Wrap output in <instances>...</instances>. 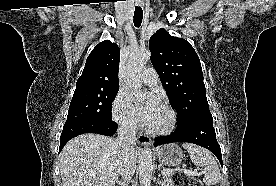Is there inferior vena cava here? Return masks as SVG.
Instances as JSON below:
<instances>
[{
    "instance_id": "inferior-vena-cava-1",
    "label": "inferior vena cava",
    "mask_w": 276,
    "mask_h": 186,
    "mask_svg": "<svg viewBox=\"0 0 276 186\" xmlns=\"http://www.w3.org/2000/svg\"><path fill=\"white\" fill-rule=\"evenodd\" d=\"M136 130V123L133 121H124L117 131L118 137L116 140V145L119 148L121 157L119 174L127 186L135 172V160L131 152L134 149Z\"/></svg>"
}]
</instances>
